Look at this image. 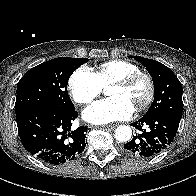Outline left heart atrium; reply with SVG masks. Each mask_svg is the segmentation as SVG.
Wrapping results in <instances>:
<instances>
[{"mask_svg": "<svg viewBox=\"0 0 196 196\" xmlns=\"http://www.w3.org/2000/svg\"><path fill=\"white\" fill-rule=\"evenodd\" d=\"M133 113L134 106L127 99L116 96L95 102L83 111V117L93 124H107L128 119Z\"/></svg>", "mask_w": 196, "mask_h": 196, "instance_id": "obj_1", "label": "left heart atrium"}]
</instances>
